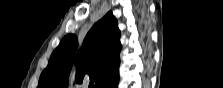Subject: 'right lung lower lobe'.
I'll return each instance as SVG.
<instances>
[{"label": "right lung lower lobe", "mask_w": 223, "mask_h": 88, "mask_svg": "<svg viewBox=\"0 0 223 88\" xmlns=\"http://www.w3.org/2000/svg\"><path fill=\"white\" fill-rule=\"evenodd\" d=\"M118 84V81L112 82L110 84H108V86H106V88H116Z\"/></svg>", "instance_id": "1"}]
</instances>
